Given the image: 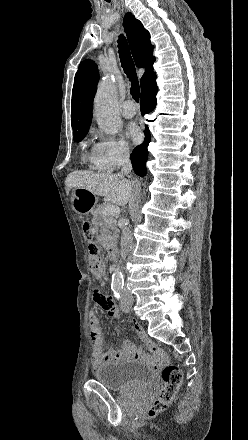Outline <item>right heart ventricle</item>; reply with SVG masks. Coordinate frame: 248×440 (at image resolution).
<instances>
[{"mask_svg": "<svg viewBox=\"0 0 248 440\" xmlns=\"http://www.w3.org/2000/svg\"><path fill=\"white\" fill-rule=\"evenodd\" d=\"M86 159L88 160V162L90 163V166H91L93 169H96V170H103V169L98 165V163H97V161H96V156H95V152H94V147H93V149L91 150V152H90L89 154L86 155Z\"/></svg>", "mask_w": 248, "mask_h": 440, "instance_id": "obj_1", "label": "right heart ventricle"}]
</instances>
